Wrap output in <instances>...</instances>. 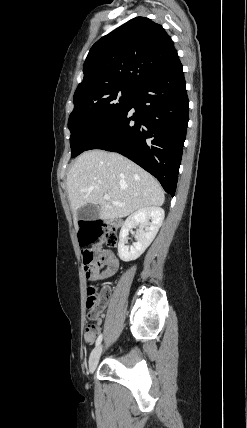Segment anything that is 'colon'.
Masks as SVG:
<instances>
[{
    "label": "colon",
    "mask_w": 247,
    "mask_h": 428,
    "mask_svg": "<svg viewBox=\"0 0 247 428\" xmlns=\"http://www.w3.org/2000/svg\"><path fill=\"white\" fill-rule=\"evenodd\" d=\"M80 233L81 234H77L76 241L77 243H82L83 246L91 243H99L100 238H102L104 243L109 247H116L119 241V235L116 228L98 221L85 223L80 228ZM82 255L86 276L89 279H95V269L102 266V258L95 263V252L89 248L84 249ZM88 293V317L90 320H93L102 312V298L107 295L108 289L103 288L98 292L95 288H89ZM94 330L95 325L88 324L85 328V334H92Z\"/></svg>",
    "instance_id": "1"
}]
</instances>
